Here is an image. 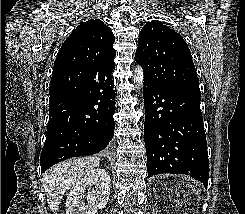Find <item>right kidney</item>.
Instances as JSON below:
<instances>
[{"mask_svg":"<svg viewBox=\"0 0 245 214\" xmlns=\"http://www.w3.org/2000/svg\"><path fill=\"white\" fill-rule=\"evenodd\" d=\"M110 189V176L104 169L89 171L77 181L68 195L66 214H95L98 209L105 208Z\"/></svg>","mask_w":245,"mask_h":214,"instance_id":"ca27d5eb","label":"right kidney"}]
</instances>
